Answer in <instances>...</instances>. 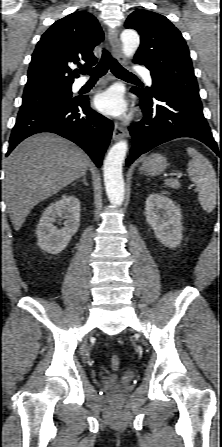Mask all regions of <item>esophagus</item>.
Returning <instances> with one entry per match:
<instances>
[{
	"mask_svg": "<svg viewBox=\"0 0 222 447\" xmlns=\"http://www.w3.org/2000/svg\"><path fill=\"white\" fill-rule=\"evenodd\" d=\"M109 42L111 45V50L114 55V57L120 62L123 63L124 61V55L121 48V43L118 38V32L117 30H110L109 31ZM125 128L118 122L114 123V130H113V139L115 141L122 139L125 136Z\"/></svg>",
	"mask_w": 222,
	"mask_h": 447,
	"instance_id": "obj_1",
	"label": "esophagus"
}]
</instances>
